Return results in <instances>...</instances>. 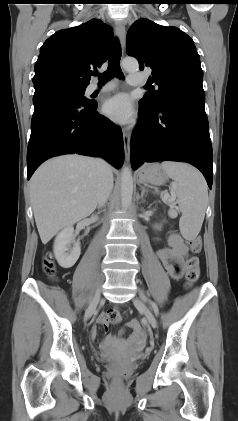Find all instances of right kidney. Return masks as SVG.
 Segmentation results:
<instances>
[{
	"label": "right kidney",
	"instance_id": "obj_1",
	"mask_svg": "<svg viewBox=\"0 0 238 421\" xmlns=\"http://www.w3.org/2000/svg\"><path fill=\"white\" fill-rule=\"evenodd\" d=\"M71 248V243H73ZM54 255L58 264L63 268H71L78 260L81 248L80 243L74 241V228H64L55 238Z\"/></svg>",
	"mask_w": 238,
	"mask_h": 421
}]
</instances>
